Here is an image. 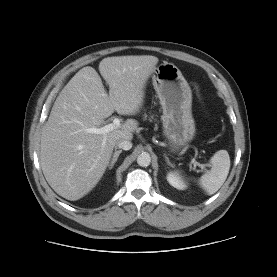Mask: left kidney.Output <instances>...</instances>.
I'll return each instance as SVG.
<instances>
[{
	"mask_svg": "<svg viewBox=\"0 0 277 277\" xmlns=\"http://www.w3.org/2000/svg\"><path fill=\"white\" fill-rule=\"evenodd\" d=\"M167 181L176 189L184 190L186 188V184L178 172H169L167 174Z\"/></svg>",
	"mask_w": 277,
	"mask_h": 277,
	"instance_id": "1",
	"label": "left kidney"
}]
</instances>
